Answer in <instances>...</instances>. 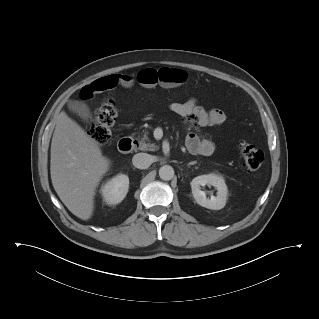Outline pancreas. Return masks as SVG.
I'll return each mask as SVG.
<instances>
[{
    "label": "pancreas",
    "instance_id": "1",
    "mask_svg": "<svg viewBox=\"0 0 319 319\" xmlns=\"http://www.w3.org/2000/svg\"><path fill=\"white\" fill-rule=\"evenodd\" d=\"M139 149L142 151H157L159 147L155 143H151L146 131L139 141Z\"/></svg>",
    "mask_w": 319,
    "mask_h": 319
}]
</instances>
